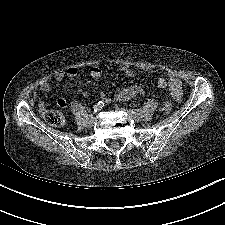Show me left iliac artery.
Masks as SVG:
<instances>
[{
  "label": "left iliac artery",
  "mask_w": 225,
  "mask_h": 225,
  "mask_svg": "<svg viewBox=\"0 0 225 225\" xmlns=\"http://www.w3.org/2000/svg\"><path fill=\"white\" fill-rule=\"evenodd\" d=\"M132 112L133 113H137V114H145L146 112L144 111V110H142V109H134V110H132Z\"/></svg>",
  "instance_id": "44dca946"
}]
</instances>
